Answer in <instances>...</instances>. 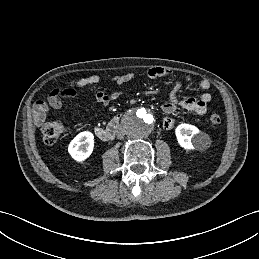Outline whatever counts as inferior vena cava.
Returning a JSON list of instances; mask_svg holds the SVG:
<instances>
[{"mask_svg": "<svg viewBox=\"0 0 259 259\" xmlns=\"http://www.w3.org/2000/svg\"><path fill=\"white\" fill-rule=\"evenodd\" d=\"M124 135H125L124 129H123V128H119V129L117 130V138H118V139H122V138L124 137Z\"/></svg>", "mask_w": 259, "mask_h": 259, "instance_id": "1", "label": "inferior vena cava"}]
</instances>
